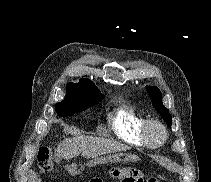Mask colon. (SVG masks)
Instances as JSON below:
<instances>
[{
    "label": "colon",
    "instance_id": "obj_1",
    "mask_svg": "<svg viewBox=\"0 0 211 182\" xmlns=\"http://www.w3.org/2000/svg\"><path fill=\"white\" fill-rule=\"evenodd\" d=\"M37 160L40 169L43 172H50L54 163L60 162V157L51 151L49 148L41 147L37 152ZM65 170L72 176H76L82 173L80 165L77 163L65 164ZM113 176L120 181L130 180L131 182H161V177H145L143 174L130 167H118L114 170ZM91 182H102L101 180H92Z\"/></svg>",
    "mask_w": 211,
    "mask_h": 182
}]
</instances>
